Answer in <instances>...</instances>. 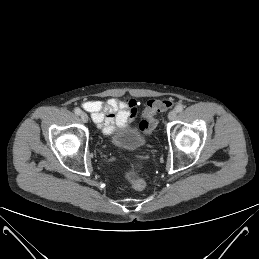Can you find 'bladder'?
<instances>
[{
	"instance_id": "obj_1",
	"label": "bladder",
	"mask_w": 259,
	"mask_h": 259,
	"mask_svg": "<svg viewBox=\"0 0 259 259\" xmlns=\"http://www.w3.org/2000/svg\"><path fill=\"white\" fill-rule=\"evenodd\" d=\"M110 140L117 147L127 150H136L145 144L141 132L131 125L119 128L111 135Z\"/></svg>"
}]
</instances>
